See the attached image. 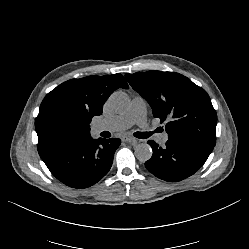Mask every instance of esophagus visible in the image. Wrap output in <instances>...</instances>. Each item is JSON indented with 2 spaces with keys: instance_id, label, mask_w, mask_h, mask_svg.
I'll list each match as a JSON object with an SVG mask.
<instances>
[{
  "instance_id": "esophagus-1",
  "label": "esophagus",
  "mask_w": 249,
  "mask_h": 249,
  "mask_svg": "<svg viewBox=\"0 0 249 249\" xmlns=\"http://www.w3.org/2000/svg\"><path fill=\"white\" fill-rule=\"evenodd\" d=\"M121 140H122L123 142H132V141H134L135 139H134L133 137H131V136H123V137L121 138Z\"/></svg>"
}]
</instances>
